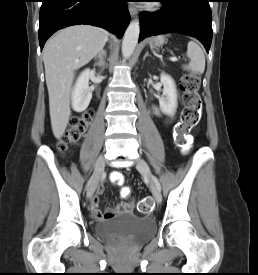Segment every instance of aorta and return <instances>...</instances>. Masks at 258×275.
<instances>
[{
	"instance_id": "aorta-1",
	"label": "aorta",
	"mask_w": 258,
	"mask_h": 275,
	"mask_svg": "<svg viewBox=\"0 0 258 275\" xmlns=\"http://www.w3.org/2000/svg\"><path fill=\"white\" fill-rule=\"evenodd\" d=\"M140 33V24L138 21H132L126 29L122 42V55L128 59L134 52Z\"/></svg>"
}]
</instances>
